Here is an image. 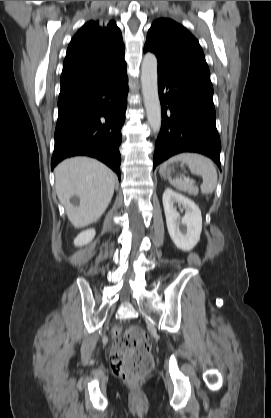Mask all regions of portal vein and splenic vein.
I'll use <instances>...</instances> for the list:
<instances>
[{
  "label": "portal vein and splenic vein",
  "mask_w": 271,
  "mask_h": 418,
  "mask_svg": "<svg viewBox=\"0 0 271 418\" xmlns=\"http://www.w3.org/2000/svg\"><path fill=\"white\" fill-rule=\"evenodd\" d=\"M189 185H191L193 183V180L189 179V178H185L184 179Z\"/></svg>",
  "instance_id": "portal-vein-and-splenic-vein-1"
}]
</instances>
